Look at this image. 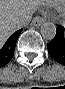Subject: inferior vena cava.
Wrapping results in <instances>:
<instances>
[{
  "instance_id": "1",
  "label": "inferior vena cava",
  "mask_w": 65,
  "mask_h": 89,
  "mask_svg": "<svg viewBox=\"0 0 65 89\" xmlns=\"http://www.w3.org/2000/svg\"><path fill=\"white\" fill-rule=\"evenodd\" d=\"M31 18H32L31 15H27L17 19L16 21L17 28L25 27L31 21Z\"/></svg>"
}]
</instances>
